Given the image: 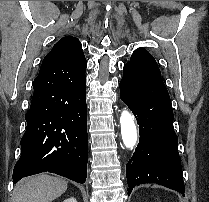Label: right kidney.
Returning <instances> with one entry per match:
<instances>
[{"instance_id":"right-kidney-1","label":"right kidney","mask_w":209,"mask_h":202,"mask_svg":"<svg viewBox=\"0 0 209 202\" xmlns=\"http://www.w3.org/2000/svg\"><path fill=\"white\" fill-rule=\"evenodd\" d=\"M63 202H77V200L74 197H70V198L64 200Z\"/></svg>"}]
</instances>
